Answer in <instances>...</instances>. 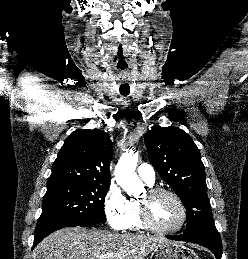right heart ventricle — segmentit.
Returning a JSON list of instances; mask_svg holds the SVG:
<instances>
[{
	"mask_svg": "<svg viewBox=\"0 0 248 259\" xmlns=\"http://www.w3.org/2000/svg\"><path fill=\"white\" fill-rule=\"evenodd\" d=\"M126 229L141 231L145 229L140 217L139 201L130 200V214Z\"/></svg>",
	"mask_w": 248,
	"mask_h": 259,
	"instance_id": "1",
	"label": "right heart ventricle"
}]
</instances>
